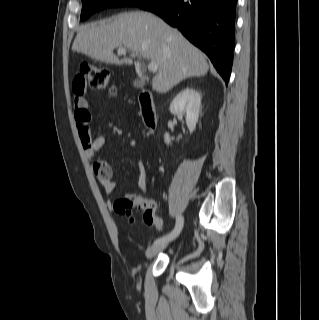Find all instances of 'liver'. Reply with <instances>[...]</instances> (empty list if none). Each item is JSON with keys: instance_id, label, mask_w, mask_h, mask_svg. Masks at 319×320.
I'll list each match as a JSON object with an SVG mask.
<instances>
[{"instance_id": "1", "label": "liver", "mask_w": 319, "mask_h": 320, "mask_svg": "<svg viewBox=\"0 0 319 320\" xmlns=\"http://www.w3.org/2000/svg\"><path fill=\"white\" fill-rule=\"evenodd\" d=\"M127 48L131 57L119 59L113 50ZM74 52L109 64L132 65L133 55L158 64L152 80L156 92L166 93L189 77L207 74L204 54L177 29L159 17L142 11L122 13L82 26L73 42Z\"/></svg>"}]
</instances>
